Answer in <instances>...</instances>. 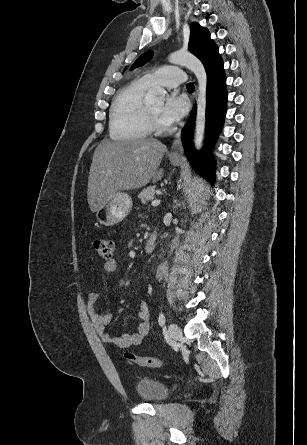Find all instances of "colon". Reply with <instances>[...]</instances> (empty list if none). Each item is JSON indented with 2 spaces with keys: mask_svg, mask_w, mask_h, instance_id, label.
I'll use <instances>...</instances> for the list:
<instances>
[{
  "mask_svg": "<svg viewBox=\"0 0 307 445\" xmlns=\"http://www.w3.org/2000/svg\"><path fill=\"white\" fill-rule=\"evenodd\" d=\"M94 247L98 254L104 259H110L113 254V243L109 240H96ZM124 359L141 367L157 368L161 366V361L158 358L153 357H141L131 352L124 354Z\"/></svg>",
  "mask_w": 307,
  "mask_h": 445,
  "instance_id": "obj_1",
  "label": "colon"
}]
</instances>
